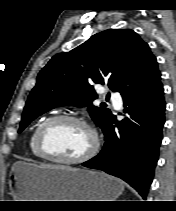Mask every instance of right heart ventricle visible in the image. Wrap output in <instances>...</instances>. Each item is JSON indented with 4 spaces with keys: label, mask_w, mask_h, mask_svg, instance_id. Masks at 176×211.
I'll return each instance as SVG.
<instances>
[{
    "label": "right heart ventricle",
    "mask_w": 176,
    "mask_h": 211,
    "mask_svg": "<svg viewBox=\"0 0 176 211\" xmlns=\"http://www.w3.org/2000/svg\"><path fill=\"white\" fill-rule=\"evenodd\" d=\"M40 123H38L34 129L32 130L31 134H30V137H29V148H30V151L32 153V155L38 159H45L44 157H42L38 151L36 150V147H35V134H36V130L38 128Z\"/></svg>",
    "instance_id": "right-heart-ventricle-1"
}]
</instances>
